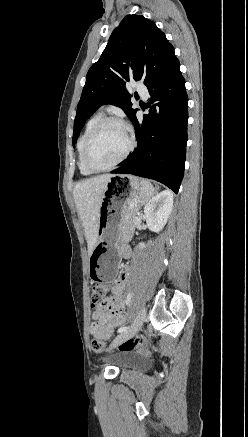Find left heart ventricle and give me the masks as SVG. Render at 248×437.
Listing matches in <instances>:
<instances>
[{
	"mask_svg": "<svg viewBox=\"0 0 248 437\" xmlns=\"http://www.w3.org/2000/svg\"><path fill=\"white\" fill-rule=\"evenodd\" d=\"M128 146L125 129L118 124H107L90 146V160L96 167H106L121 157Z\"/></svg>",
	"mask_w": 248,
	"mask_h": 437,
	"instance_id": "left-heart-ventricle-1",
	"label": "left heart ventricle"
}]
</instances>
